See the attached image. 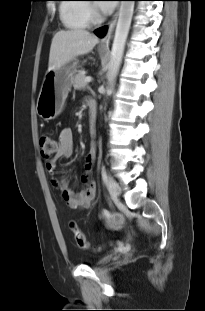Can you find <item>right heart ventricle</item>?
<instances>
[{
  "instance_id": "right-heart-ventricle-1",
  "label": "right heart ventricle",
  "mask_w": 205,
  "mask_h": 311,
  "mask_svg": "<svg viewBox=\"0 0 205 311\" xmlns=\"http://www.w3.org/2000/svg\"><path fill=\"white\" fill-rule=\"evenodd\" d=\"M80 2L83 0H65ZM60 18L63 25L72 30L85 29L90 25L91 15L88 4L63 3L60 5Z\"/></svg>"
}]
</instances>
